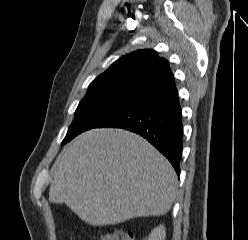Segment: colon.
Masks as SVG:
<instances>
[{"mask_svg": "<svg viewBox=\"0 0 248 240\" xmlns=\"http://www.w3.org/2000/svg\"><path fill=\"white\" fill-rule=\"evenodd\" d=\"M101 240H134V237L129 232H126L119 228H113L109 232L104 234Z\"/></svg>", "mask_w": 248, "mask_h": 240, "instance_id": "obj_1", "label": "colon"}]
</instances>
